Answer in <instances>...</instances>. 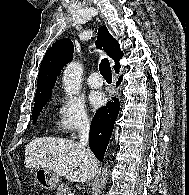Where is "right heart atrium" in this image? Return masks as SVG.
Masks as SVG:
<instances>
[{
  "mask_svg": "<svg viewBox=\"0 0 189 195\" xmlns=\"http://www.w3.org/2000/svg\"><path fill=\"white\" fill-rule=\"evenodd\" d=\"M90 124V115L84 101L76 96H59L57 130L72 134Z\"/></svg>",
  "mask_w": 189,
  "mask_h": 195,
  "instance_id": "obj_1",
  "label": "right heart atrium"
}]
</instances>
